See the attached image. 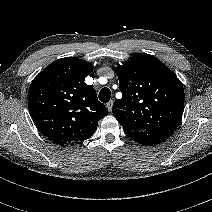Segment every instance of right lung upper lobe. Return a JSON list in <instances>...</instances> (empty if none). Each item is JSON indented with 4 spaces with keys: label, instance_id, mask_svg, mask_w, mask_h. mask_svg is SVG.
Here are the masks:
<instances>
[{
    "label": "right lung upper lobe",
    "instance_id": "right-lung-upper-lobe-1",
    "mask_svg": "<svg viewBox=\"0 0 212 212\" xmlns=\"http://www.w3.org/2000/svg\"><path fill=\"white\" fill-rule=\"evenodd\" d=\"M91 63L62 58L40 72L29 88L28 107L39 131L60 146L76 145L91 137L108 109L84 80Z\"/></svg>",
    "mask_w": 212,
    "mask_h": 212
}]
</instances>
